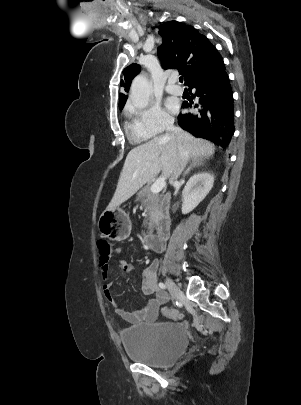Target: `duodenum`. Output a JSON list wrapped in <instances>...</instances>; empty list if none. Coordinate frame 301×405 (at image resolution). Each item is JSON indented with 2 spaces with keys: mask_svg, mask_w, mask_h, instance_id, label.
Masks as SVG:
<instances>
[{
  "mask_svg": "<svg viewBox=\"0 0 301 405\" xmlns=\"http://www.w3.org/2000/svg\"><path fill=\"white\" fill-rule=\"evenodd\" d=\"M169 207L170 196L165 195L161 200V216L157 225V231L145 237L146 244L155 252H162L165 249V242L170 231Z\"/></svg>",
  "mask_w": 301,
  "mask_h": 405,
  "instance_id": "1",
  "label": "duodenum"
}]
</instances>
